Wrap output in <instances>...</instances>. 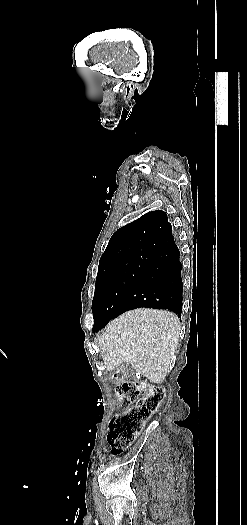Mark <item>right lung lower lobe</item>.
<instances>
[{
	"mask_svg": "<svg viewBox=\"0 0 247 525\" xmlns=\"http://www.w3.org/2000/svg\"><path fill=\"white\" fill-rule=\"evenodd\" d=\"M180 252L173 240L152 256L150 264L136 280L117 309V316L135 308L165 309L182 313L183 284ZM103 325L93 327V333Z\"/></svg>",
	"mask_w": 247,
	"mask_h": 525,
	"instance_id": "obj_1",
	"label": "right lung lower lobe"
}]
</instances>
